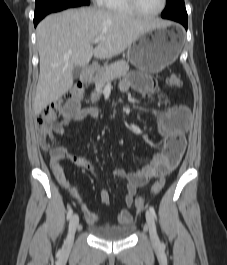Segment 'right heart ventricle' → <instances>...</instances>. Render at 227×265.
Masks as SVG:
<instances>
[{
    "mask_svg": "<svg viewBox=\"0 0 227 265\" xmlns=\"http://www.w3.org/2000/svg\"><path fill=\"white\" fill-rule=\"evenodd\" d=\"M98 3L106 10L125 15H136L128 0H98Z\"/></svg>",
    "mask_w": 227,
    "mask_h": 265,
    "instance_id": "obj_1",
    "label": "right heart ventricle"
}]
</instances>
